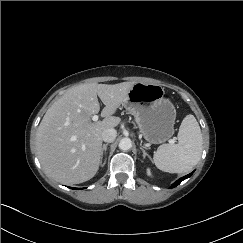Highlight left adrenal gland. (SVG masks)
<instances>
[{
    "mask_svg": "<svg viewBox=\"0 0 243 243\" xmlns=\"http://www.w3.org/2000/svg\"><path fill=\"white\" fill-rule=\"evenodd\" d=\"M140 149L143 152V158L148 157L150 160H152L151 156L142 147H140Z\"/></svg>",
    "mask_w": 243,
    "mask_h": 243,
    "instance_id": "obj_1",
    "label": "left adrenal gland"
}]
</instances>
